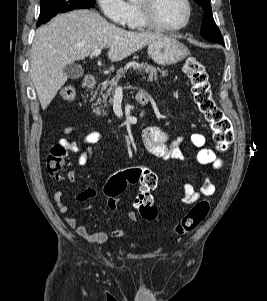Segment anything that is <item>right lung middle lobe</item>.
Returning a JSON list of instances; mask_svg holds the SVG:
<instances>
[{"label":"right lung middle lobe","instance_id":"right-lung-middle-lobe-1","mask_svg":"<svg viewBox=\"0 0 267 301\" xmlns=\"http://www.w3.org/2000/svg\"><path fill=\"white\" fill-rule=\"evenodd\" d=\"M40 6L38 26L48 22L58 13L94 8L95 0H40Z\"/></svg>","mask_w":267,"mask_h":301}]
</instances>
